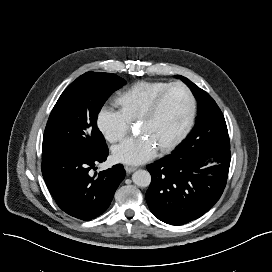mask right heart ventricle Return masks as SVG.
<instances>
[{
    "label": "right heart ventricle",
    "instance_id": "right-heart-ventricle-1",
    "mask_svg": "<svg viewBox=\"0 0 272 272\" xmlns=\"http://www.w3.org/2000/svg\"><path fill=\"white\" fill-rule=\"evenodd\" d=\"M170 83L163 81H138L123 90L116 103L130 122L137 121L152 99Z\"/></svg>",
    "mask_w": 272,
    "mask_h": 272
}]
</instances>
